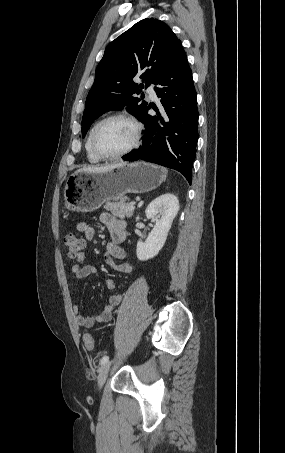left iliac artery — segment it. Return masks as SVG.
Segmentation results:
<instances>
[{"instance_id":"obj_1","label":"left iliac artery","mask_w":285,"mask_h":453,"mask_svg":"<svg viewBox=\"0 0 285 453\" xmlns=\"http://www.w3.org/2000/svg\"><path fill=\"white\" fill-rule=\"evenodd\" d=\"M108 360H109V356H103L102 359H101L100 364L103 365V364H105L106 362H108Z\"/></svg>"}]
</instances>
